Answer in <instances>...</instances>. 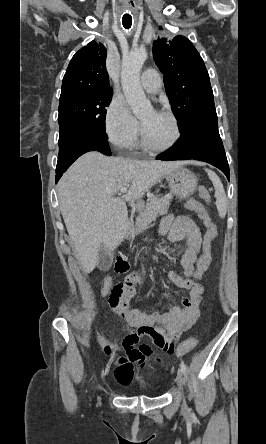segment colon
<instances>
[{"label": "colon", "instance_id": "1", "mask_svg": "<svg viewBox=\"0 0 266 444\" xmlns=\"http://www.w3.org/2000/svg\"><path fill=\"white\" fill-rule=\"evenodd\" d=\"M197 192L199 196L205 200H209V194L205 187L200 186L197 188ZM186 207L194 212H196L199 218L202 220L206 233L203 240L202 251L194 265V269L192 275L188 278V287L184 288L190 290L191 286L195 283L200 282L204 273L208 269L211 261H212V244L217 236V229L214 223L211 221L205 207L195 199H188L186 201ZM134 296V286L131 281L125 279L116 283L109 295V305L112 309L122 307L126 311L131 312L137 316H151L155 314H164L168 312L172 305L175 303H167L163 307H156L150 310L149 312H142L139 309L131 307V300ZM199 342L198 336H193L181 344L176 353L185 354L191 349H193Z\"/></svg>", "mask_w": 266, "mask_h": 444}]
</instances>
